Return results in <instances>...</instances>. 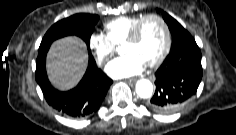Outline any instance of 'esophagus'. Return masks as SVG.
I'll return each instance as SVG.
<instances>
[{
  "label": "esophagus",
  "instance_id": "esophagus-1",
  "mask_svg": "<svg viewBox=\"0 0 236 135\" xmlns=\"http://www.w3.org/2000/svg\"><path fill=\"white\" fill-rule=\"evenodd\" d=\"M127 81H128L129 83H133V82L136 81V78H129V79H127Z\"/></svg>",
  "mask_w": 236,
  "mask_h": 135
}]
</instances>
